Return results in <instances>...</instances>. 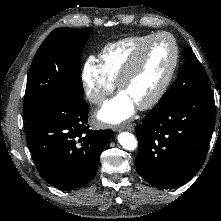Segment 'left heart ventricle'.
Returning <instances> with one entry per match:
<instances>
[{"label":"left heart ventricle","instance_id":"left-heart-ventricle-1","mask_svg":"<svg viewBox=\"0 0 221 221\" xmlns=\"http://www.w3.org/2000/svg\"><path fill=\"white\" fill-rule=\"evenodd\" d=\"M173 58V45L169 38L161 37L146 50L138 72L122 88L136 106L148 100L163 82Z\"/></svg>","mask_w":221,"mask_h":221}]
</instances>
